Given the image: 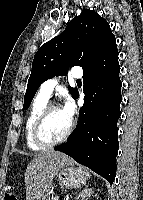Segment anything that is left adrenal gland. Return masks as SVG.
<instances>
[{
  "mask_svg": "<svg viewBox=\"0 0 143 200\" xmlns=\"http://www.w3.org/2000/svg\"><path fill=\"white\" fill-rule=\"evenodd\" d=\"M92 193H93L92 189L85 187L76 195L75 200H88V198L92 195Z\"/></svg>",
  "mask_w": 143,
  "mask_h": 200,
  "instance_id": "1",
  "label": "left adrenal gland"
}]
</instances>
